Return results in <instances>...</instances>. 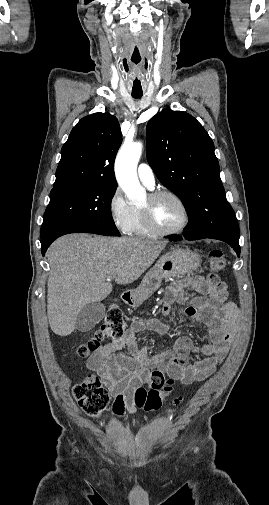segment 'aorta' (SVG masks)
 Wrapping results in <instances>:
<instances>
[{"instance_id": "1", "label": "aorta", "mask_w": 269, "mask_h": 505, "mask_svg": "<svg viewBox=\"0 0 269 505\" xmlns=\"http://www.w3.org/2000/svg\"><path fill=\"white\" fill-rule=\"evenodd\" d=\"M141 142L124 144L115 161V175L119 186L129 201L138 203L146 199V190L137 177V164L142 154Z\"/></svg>"}]
</instances>
